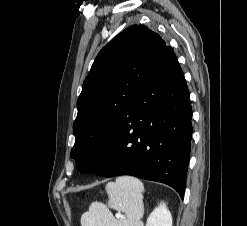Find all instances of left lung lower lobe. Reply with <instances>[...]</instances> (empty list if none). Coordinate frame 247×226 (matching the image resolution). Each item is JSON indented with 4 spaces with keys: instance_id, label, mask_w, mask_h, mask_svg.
Returning <instances> with one entry per match:
<instances>
[{
    "instance_id": "1",
    "label": "left lung lower lobe",
    "mask_w": 247,
    "mask_h": 226,
    "mask_svg": "<svg viewBox=\"0 0 247 226\" xmlns=\"http://www.w3.org/2000/svg\"><path fill=\"white\" fill-rule=\"evenodd\" d=\"M191 118L183 72L172 48L165 46L113 135L92 154L82 172L165 183L183 199Z\"/></svg>"
}]
</instances>
